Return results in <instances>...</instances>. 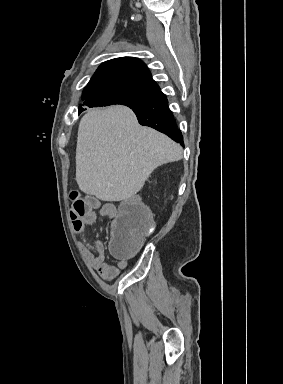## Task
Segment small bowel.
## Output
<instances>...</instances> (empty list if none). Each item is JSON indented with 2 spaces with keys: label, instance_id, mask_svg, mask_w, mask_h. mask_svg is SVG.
I'll list each match as a JSON object with an SVG mask.
<instances>
[{
  "label": "small bowel",
  "instance_id": "small-bowel-1",
  "mask_svg": "<svg viewBox=\"0 0 283 384\" xmlns=\"http://www.w3.org/2000/svg\"><path fill=\"white\" fill-rule=\"evenodd\" d=\"M100 215L114 219L117 215V209L112 204H105L100 207ZM97 218L95 210H90L82 219L79 225L74 224V229L77 232L86 230L92 226ZM81 252L87 263L97 270L100 277L106 281H111L116 278L121 271L127 267V260L119 259L116 264L112 265L106 262L104 246L101 241L94 242V251L81 245Z\"/></svg>",
  "mask_w": 283,
  "mask_h": 384
}]
</instances>
